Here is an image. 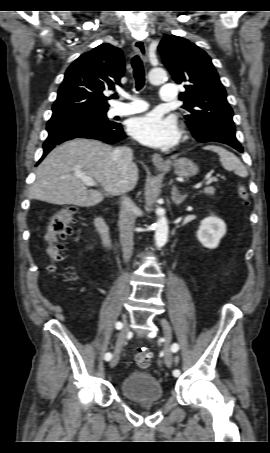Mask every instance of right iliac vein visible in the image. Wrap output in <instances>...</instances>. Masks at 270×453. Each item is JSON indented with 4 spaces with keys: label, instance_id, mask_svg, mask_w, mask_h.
I'll return each instance as SVG.
<instances>
[{
    "label": "right iliac vein",
    "instance_id": "obj_1",
    "mask_svg": "<svg viewBox=\"0 0 270 453\" xmlns=\"http://www.w3.org/2000/svg\"><path fill=\"white\" fill-rule=\"evenodd\" d=\"M122 322H123V328H122V330L120 331V333L118 335L117 342H116V348L114 350L112 359L110 361V367L111 368L115 367L117 365L118 361H119L120 351H121V348H122V346L124 344V341H125L127 333H128V325H127L126 315H123Z\"/></svg>",
    "mask_w": 270,
    "mask_h": 453
}]
</instances>
